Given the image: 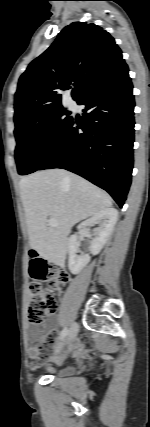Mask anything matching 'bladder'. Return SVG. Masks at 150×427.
<instances>
[{
  "label": "bladder",
  "instance_id": "1",
  "mask_svg": "<svg viewBox=\"0 0 150 427\" xmlns=\"http://www.w3.org/2000/svg\"><path fill=\"white\" fill-rule=\"evenodd\" d=\"M75 372V369L71 366L61 367L54 370V376L56 377H67L72 375Z\"/></svg>",
  "mask_w": 150,
  "mask_h": 427
}]
</instances>
